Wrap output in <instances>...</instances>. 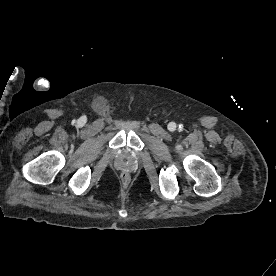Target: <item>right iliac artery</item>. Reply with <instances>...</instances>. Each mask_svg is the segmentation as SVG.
<instances>
[{"mask_svg": "<svg viewBox=\"0 0 276 276\" xmlns=\"http://www.w3.org/2000/svg\"><path fill=\"white\" fill-rule=\"evenodd\" d=\"M75 123H76V121H75V120H73V121H72V124H75Z\"/></svg>", "mask_w": 276, "mask_h": 276, "instance_id": "82829eb1", "label": "right iliac artery"}]
</instances>
